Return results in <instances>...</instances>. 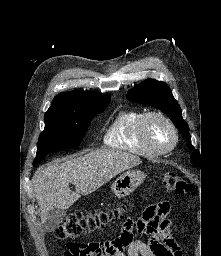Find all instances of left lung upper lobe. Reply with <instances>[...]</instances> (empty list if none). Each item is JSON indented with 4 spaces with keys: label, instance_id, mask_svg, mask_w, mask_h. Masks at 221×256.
Returning <instances> with one entry per match:
<instances>
[{
    "label": "left lung upper lobe",
    "instance_id": "1",
    "mask_svg": "<svg viewBox=\"0 0 221 256\" xmlns=\"http://www.w3.org/2000/svg\"><path fill=\"white\" fill-rule=\"evenodd\" d=\"M130 101L152 105L159 108L174 122L179 131L187 137V146L193 150L191 163L201 167V156L198 150L190 144L189 128L183 120L181 108L174 99L171 89L165 82L148 79L130 89L127 93Z\"/></svg>",
    "mask_w": 221,
    "mask_h": 256
}]
</instances>
